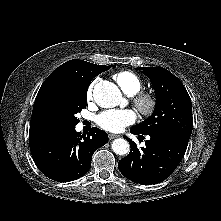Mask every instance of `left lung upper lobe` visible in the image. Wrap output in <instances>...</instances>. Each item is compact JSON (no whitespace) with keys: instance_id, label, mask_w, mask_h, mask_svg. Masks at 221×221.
I'll use <instances>...</instances> for the list:
<instances>
[{"instance_id":"left-lung-upper-lobe-1","label":"left lung upper lobe","mask_w":221,"mask_h":221,"mask_svg":"<svg viewBox=\"0 0 221 221\" xmlns=\"http://www.w3.org/2000/svg\"><path fill=\"white\" fill-rule=\"evenodd\" d=\"M156 93L153 114L133 130L148 135L162 133L189 141L192 133V105L182 82L163 67H143Z\"/></svg>"}]
</instances>
